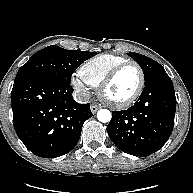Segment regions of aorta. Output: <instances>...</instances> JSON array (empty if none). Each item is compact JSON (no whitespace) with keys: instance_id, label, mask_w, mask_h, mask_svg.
<instances>
[{"instance_id":"1","label":"aorta","mask_w":193,"mask_h":193,"mask_svg":"<svg viewBox=\"0 0 193 193\" xmlns=\"http://www.w3.org/2000/svg\"><path fill=\"white\" fill-rule=\"evenodd\" d=\"M111 112L107 109H101L97 112V119L102 123H107L111 120Z\"/></svg>"}]
</instances>
